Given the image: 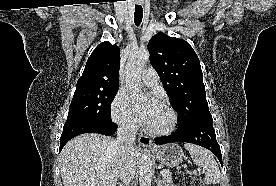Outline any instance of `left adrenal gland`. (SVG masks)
Returning a JSON list of instances; mask_svg holds the SVG:
<instances>
[{"instance_id":"a2214340","label":"left adrenal gland","mask_w":276,"mask_h":186,"mask_svg":"<svg viewBox=\"0 0 276 186\" xmlns=\"http://www.w3.org/2000/svg\"><path fill=\"white\" fill-rule=\"evenodd\" d=\"M157 186H164V183L162 180H160V175H158V178L156 180Z\"/></svg>"}]
</instances>
